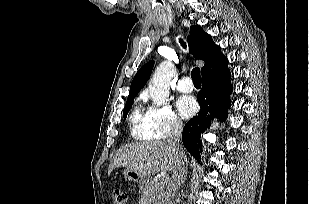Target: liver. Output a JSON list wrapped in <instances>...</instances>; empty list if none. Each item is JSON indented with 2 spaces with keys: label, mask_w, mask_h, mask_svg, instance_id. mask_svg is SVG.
<instances>
[{
  "label": "liver",
  "mask_w": 309,
  "mask_h": 204,
  "mask_svg": "<svg viewBox=\"0 0 309 204\" xmlns=\"http://www.w3.org/2000/svg\"><path fill=\"white\" fill-rule=\"evenodd\" d=\"M176 154L167 141L130 143L120 148L109 167H125L151 176L159 171H174Z\"/></svg>",
  "instance_id": "1"
}]
</instances>
